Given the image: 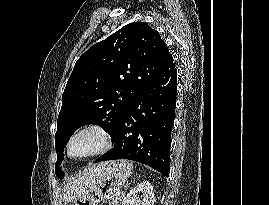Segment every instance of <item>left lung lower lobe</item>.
Masks as SVG:
<instances>
[{
  "label": "left lung lower lobe",
  "mask_w": 269,
  "mask_h": 205,
  "mask_svg": "<svg viewBox=\"0 0 269 205\" xmlns=\"http://www.w3.org/2000/svg\"><path fill=\"white\" fill-rule=\"evenodd\" d=\"M177 93V70L170 55L159 74L123 113L110 135L112 150L94 162L129 159L168 177L170 140Z\"/></svg>",
  "instance_id": "0a47b994"
}]
</instances>
